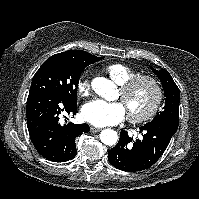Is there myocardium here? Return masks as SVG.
<instances>
[{
    "instance_id": "obj_1",
    "label": "myocardium",
    "mask_w": 199,
    "mask_h": 199,
    "mask_svg": "<svg viewBox=\"0 0 199 199\" xmlns=\"http://www.w3.org/2000/svg\"><path fill=\"white\" fill-rule=\"evenodd\" d=\"M147 83L151 86L153 91V98L145 112L140 114H133L128 112V119L131 123L139 124L151 120L158 112L163 99V89L159 80L148 74L135 75L126 82L120 85L121 97L125 98L131 91L139 85Z\"/></svg>"
}]
</instances>
